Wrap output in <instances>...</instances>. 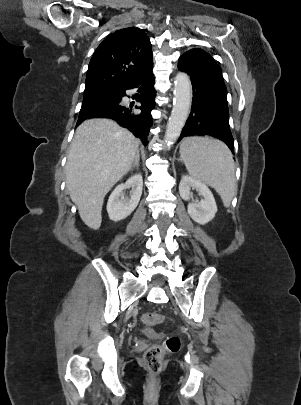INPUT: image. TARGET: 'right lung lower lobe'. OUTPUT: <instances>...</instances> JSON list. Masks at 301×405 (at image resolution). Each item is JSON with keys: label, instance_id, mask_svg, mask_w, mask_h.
<instances>
[{"label": "right lung lower lobe", "instance_id": "right-lung-lower-lobe-1", "mask_svg": "<svg viewBox=\"0 0 301 405\" xmlns=\"http://www.w3.org/2000/svg\"><path fill=\"white\" fill-rule=\"evenodd\" d=\"M152 68L153 65L148 67L133 82L122 89L120 97L116 101L89 110H81L77 125L89 118H110L117 121L120 126L133 132L146 146L148 144L147 135L153 123L150 112L154 108V98L156 95V91L153 87L154 75ZM128 89H137L138 94H136V100L140 102L141 105L139 107L136 106V108L141 110L140 114H134L132 112V106L127 107L121 104V99L126 96L125 91Z\"/></svg>", "mask_w": 301, "mask_h": 405}]
</instances>
